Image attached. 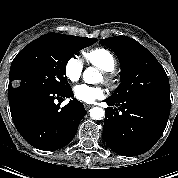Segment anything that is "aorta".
<instances>
[{"mask_svg": "<svg viewBox=\"0 0 178 178\" xmlns=\"http://www.w3.org/2000/svg\"><path fill=\"white\" fill-rule=\"evenodd\" d=\"M98 72L95 68L89 67L83 73V79L86 83H92V76L97 75ZM90 117L94 120H101L105 116V111L100 107H93L89 110Z\"/></svg>", "mask_w": 178, "mask_h": 178, "instance_id": "762f6f07", "label": "aorta"}]
</instances>
